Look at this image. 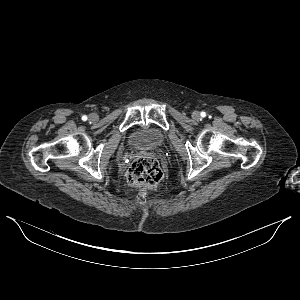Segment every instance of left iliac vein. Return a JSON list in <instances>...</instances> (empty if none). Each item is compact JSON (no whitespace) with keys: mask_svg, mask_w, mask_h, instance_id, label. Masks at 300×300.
<instances>
[{"mask_svg":"<svg viewBox=\"0 0 300 300\" xmlns=\"http://www.w3.org/2000/svg\"><path fill=\"white\" fill-rule=\"evenodd\" d=\"M192 118H193L195 121H198V120L200 119V114H199V112H197V111L193 112Z\"/></svg>","mask_w":300,"mask_h":300,"instance_id":"left-iliac-vein-1","label":"left iliac vein"}]
</instances>
